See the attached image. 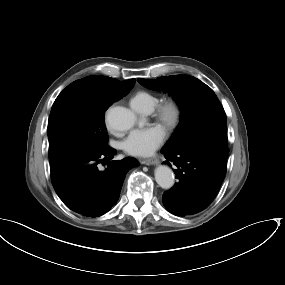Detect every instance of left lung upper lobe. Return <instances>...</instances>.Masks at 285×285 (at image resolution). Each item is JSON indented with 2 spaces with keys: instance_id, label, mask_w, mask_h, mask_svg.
Listing matches in <instances>:
<instances>
[{
  "instance_id": "left-lung-upper-lobe-1",
  "label": "left lung upper lobe",
  "mask_w": 285,
  "mask_h": 285,
  "mask_svg": "<svg viewBox=\"0 0 285 285\" xmlns=\"http://www.w3.org/2000/svg\"><path fill=\"white\" fill-rule=\"evenodd\" d=\"M137 80L149 89L168 92L181 108L180 125L162 149L177 151L203 143L227 147L226 114L209 86L189 75Z\"/></svg>"
}]
</instances>
